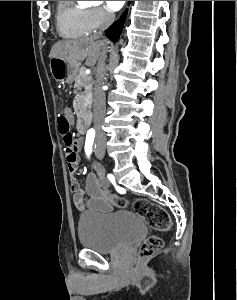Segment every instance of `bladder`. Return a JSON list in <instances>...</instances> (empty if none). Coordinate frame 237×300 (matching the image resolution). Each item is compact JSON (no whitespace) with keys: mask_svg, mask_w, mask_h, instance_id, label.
<instances>
[{"mask_svg":"<svg viewBox=\"0 0 237 300\" xmlns=\"http://www.w3.org/2000/svg\"><path fill=\"white\" fill-rule=\"evenodd\" d=\"M145 231L140 215L119 210L109 215L84 216L78 225V239L85 248L112 254L132 245Z\"/></svg>","mask_w":237,"mask_h":300,"instance_id":"obj_1","label":"bladder"}]
</instances>
